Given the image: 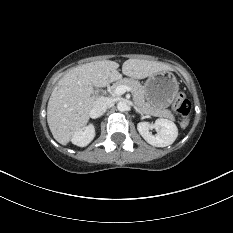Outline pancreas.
Segmentation results:
<instances>
[{
	"instance_id": "obj_1",
	"label": "pancreas",
	"mask_w": 233,
	"mask_h": 233,
	"mask_svg": "<svg viewBox=\"0 0 233 233\" xmlns=\"http://www.w3.org/2000/svg\"><path fill=\"white\" fill-rule=\"evenodd\" d=\"M124 85L128 86L130 88V91L133 95V100L137 108L140 112L147 114V115H153L158 117H164L168 118L170 120H174V115L171 113L168 109H158L155 107H152L150 104L145 102V90L144 87L136 80L130 79V78H124L118 80L113 86L110 88V93L112 95L114 94V90L117 86Z\"/></svg>"
}]
</instances>
